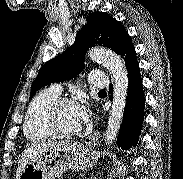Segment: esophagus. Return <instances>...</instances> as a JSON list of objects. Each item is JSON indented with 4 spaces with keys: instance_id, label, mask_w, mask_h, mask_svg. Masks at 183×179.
I'll use <instances>...</instances> for the list:
<instances>
[{
    "instance_id": "obj_1",
    "label": "esophagus",
    "mask_w": 183,
    "mask_h": 179,
    "mask_svg": "<svg viewBox=\"0 0 183 179\" xmlns=\"http://www.w3.org/2000/svg\"><path fill=\"white\" fill-rule=\"evenodd\" d=\"M100 134L99 133H94L93 135H91L90 137H88L85 140V143L88 145H93L96 144L99 140Z\"/></svg>"
}]
</instances>
